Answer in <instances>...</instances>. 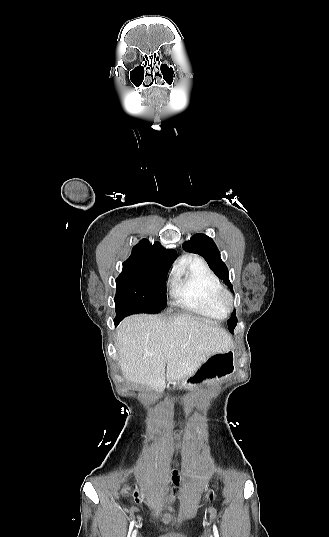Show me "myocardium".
<instances>
[{"instance_id":"obj_1","label":"myocardium","mask_w":329,"mask_h":537,"mask_svg":"<svg viewBox=\"0 0 329 537\" xmlns=\"http://www.w3.org/2000/svg\"><path fill=\"white\" fill-rule=\"evenodd\" d=\"M218 306L225 312H230L235 307L233 294L226 288H221L216 294Z\"/></svg>"}]
</instances>
